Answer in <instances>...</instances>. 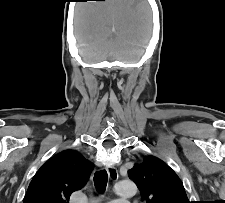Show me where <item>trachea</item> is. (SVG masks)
<instances>
[{
	"mask_svg": "<svg viewBox=\"0 0 225 203\" xmlns=\"http://www.w3.org/2000/svg\"><path fill=\"white\" fill-rule=\"evenodd\" d=\"M107 181H108V175L106 170H101V171H97L94 174V185L96 190L99 193H104L106 186H107Z\"/></svg>",
	"mask_w": 225,
	"mask_h": 203,
	"instance_id": "3493384b",
	"label": "trachea"
}]
</instances>
